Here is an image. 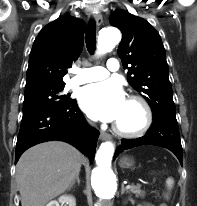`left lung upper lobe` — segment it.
Listing matches in <instances>:
<instances>
[{"label": "left lung upper lobe", "mask_w": 197, "mask_h": 206, "mask_svg": "<svg viewBox=\"0 0 197 206\" xmlns=\"http://www.w3.org/2000/svg\"><path fill=\"white\" fill-rule=\"evenodd\" d=\"M109 22L123 34L117 52L124 69L128 70V82L146 99L153 117L176 119L168 64L159 33L143 18L122 10L115 11Z\"/></svg>", "instance_id": "left-lung-upper-lobe-1"}]
</instances>
